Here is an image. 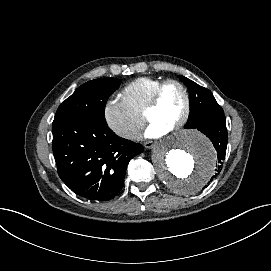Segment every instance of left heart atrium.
<instances>
[{"label": "left heart atrium", "mask_w": 271, "mask_h": 271, "mask_svg": "<svg viewBox=\"0 0 271 271\" xmlns=\"http://www.w3.org/2000/svg\"><path fill=\"white\" fill-rule=\"evenodd\" d=\"M167 133H168L167 130L159 127L154 123H150L146 131L144 132L143 137L146 139H157L164 136Z\"/></svg>", "instance_id": "1"}]
</instances>
